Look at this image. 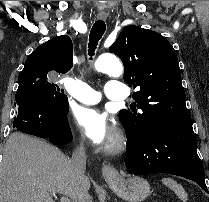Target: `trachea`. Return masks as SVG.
<instances>
[{
    "label": "trachea",
    "instance_id": "1",
    "mask_svg": "<svg viewBox=\"0 0 209 202\" xmlns=\"http://www.w3.org/2000/svg\"><path fill=\"white\" fill-rule=\"evenodd\" d=\"M106 30V24L103 20H97L91 28L89 34V43H88V55L90 59L94 56V52L98 45L99 40L102 38Z\"/></svg>",
    "mask_w": 209,
    "mask_h": 202
}]
</instances>
